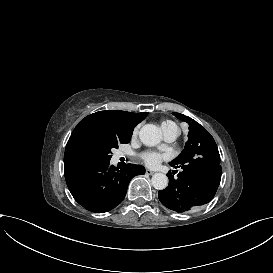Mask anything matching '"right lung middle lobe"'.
<instances>
[{"label": "right lung middle lobe", "instance_id": "right-lung-middle-lobe-1", "mask_svg": "<svg viewBox=\"0 0 273 273\" xmlns=\"http://www.w3.org/2000/svg\"><path fill=\"white\" fill-rule=\"evenodd\" d=\"M119 143H128V141L89 133L78 141L76 154L90 166L108 163L112 157L111 150L118 148Z\"/></svg>", "mask_w": 273, "mask_h": 273}]
</instances>
